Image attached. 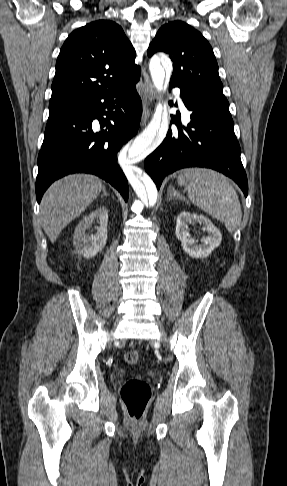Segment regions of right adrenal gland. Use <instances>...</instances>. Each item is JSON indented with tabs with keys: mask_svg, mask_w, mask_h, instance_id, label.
<instances>
[{
	"mask_svg": "<svg viewBox=\"0 0 287 486\" xmlns=\"http://www.w3.org/2000/svg\"><path fill=\"white\" fill-rule=\"evenodd\" d=\"M108 195H109V194L106 192L105 187H103V195H102V197H103V196H108Z\"/></svg>",
	"mask_w": 287,
	"mask_h": 486,
	"instance_id": "right-adrenal-gland-1",
	"label": "right adrenal gland"
}]
</instances>
